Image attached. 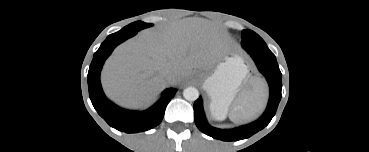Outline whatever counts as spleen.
Here are the masks:
<instances>
[{"mask_svg":"<svg viewBox=\"0 0 369 152\" xmlns=\"http://www.w3.org/2000/svg\"><path fill=\"white\" fill-rule=\"evenodd\" d=\"M266 100L267 93L262 87L242 94L229 113L230 120L237 123L252 120L264 109Z\"/></svg>","mask_w":369,"mask_h":152,"instance_id":"3e777b00","label":"spleen"}]
</instances>
